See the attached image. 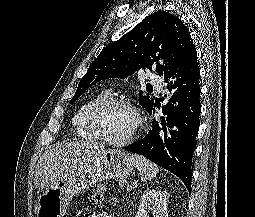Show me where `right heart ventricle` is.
<instances>
[{"label":"right heart ventricle","mask_w":255,"mask_h":217,"mask_svg":"<svg viewBox=\"0 0 255 217\" xmlns=\"http://www.w3.org/2000/svg\"><path fill=\"white\" fill-rule=\"evenodd\" d=\"M109 98L107 91H101L86 102H84L75 112L72 118V126L76 135L84 140H99L91 128L89 115L94 107Z\"/></svg>","instance_id":"obj_1"}]
</instances>
